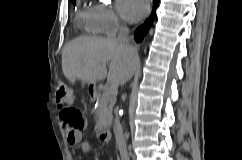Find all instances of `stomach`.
Segmentation results:
<instances>
[{"label":"stomach","mask_w":242,"mask_h":160,"mask_svg":"<svg viewBox=\"0 0 242 160\" xmlns=\"http://www.w3.org/2000/svg\"><path fill=\"white\" fill-rule=\"evenodd\" d=\"M89 86H90V88L93 89V90H95V88H96L95 84H93V83H89Z\"/></svg>","instance_id":"stomach-1"}]
</instances>
